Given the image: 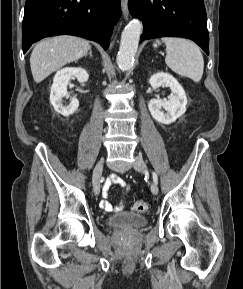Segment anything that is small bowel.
I'll return each instance as SVG.
<instances>
[{
  "label": "small bowel",
  "instance_id": "c3829d8e",
  "mask_svg": "<svg viewBox=\"0 0 243 289\" xmlns=\"http://www.w3.org/2000/svg\"><path fill=\"white\" fill-rule=\"evenodd\" d=\"M112 184H117L123 188L125 195L129 193L130 185L127 184L121 177L116 174L111 175L105 182L103 187V197L106 199L108 196V190ZM100 207L107 212H118L122 211L126 207V203L121 201L118 205L113 206L107 200H102L100 202Z\"/></svg>",
  "mask_w": 243,
  "mask_h": 289
}]
</instances>
